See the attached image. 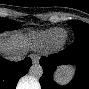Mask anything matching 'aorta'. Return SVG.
I'll return each mask as SVG.
<instances>
[{"label": "aorta", "instance_id": "1", "mask_svg": "<svg viewBox=\"0 0 89 89\" xmlns=\"http://www.w3.org/2000/svg\"><path fill=\"white\" fill-rule=\"evenodd\" d=\"M29 74L33 78H40L43 74V68L40 64H33L29 69Z\"/></svg>", "mask_w": 89, "mask_h": 89}]
</instances>
